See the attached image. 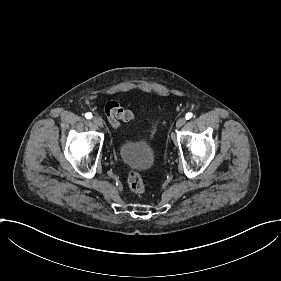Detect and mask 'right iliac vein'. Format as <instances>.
Wrapping results in <instances>:
<instances>
[{
    "instance_id": "1",
    "label": "right iliac vein",
    "mask_w": 281,
    "mask_h": 281,
    "mask_svg": "<svg viewBox=\"0 0 281 281\" xmlns=\"http://www.w3.org/2000/svg\"><path fill=\"white\" fill-rule=\"evenodd\" d=\"M94 124L97 126H100L101 128L105 129V126L103 124V120L101 118H94L93 119Z\"/></svg>"
}]
</instances>
